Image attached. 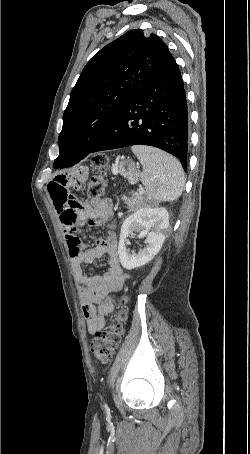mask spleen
<instances>
[{
    "label": "spleen",
    "mask_w": 250,
    "mask_h": 454,
    "mask_svg": "<svg viewBox=\"0 0 250 454\" xmlns=\"http://www.w3.org/2000/svg\"><path fill=\"white\" fill-rule=\"evenodd\" d=\"M131 149L143 166L141 181L146 187L147 199L154 203L177 200L185 184L180 162L153 147L135 145Z\"/></svg>",
    "instance_id": "1"
}]
</instances>
